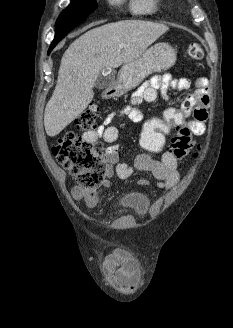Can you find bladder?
Returning a JSON list of instances; mask_svg holds the SVG:
<instances>
[{
	"mask_svg": "<svg viewBox=\"0 0 233 328\" xmlns=\"http://www.w3.org/2000/svg\"><path fill=\"white\" fill-rule=\"evenodd\" d=\"M123 205L137 213H143L148 208L149 198L144 193H132L123 199Z\"/></svg>",
	"mask_w": 233,
	"mask_h": 328,
	"instance_id": "bladder-1",
	"label": "bladder"
}]
</instances>
